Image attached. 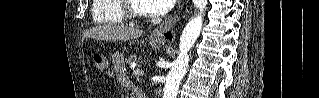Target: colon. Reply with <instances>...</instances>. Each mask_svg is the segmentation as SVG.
I'll list each match as a JSON object with an SVG mask.
<instances>
[{
    "label": "colon",
    "instance_id": "obj_1",
    "mask_svg": "<svg viewBox=\"0 0 319 98\" xmlns=\"http://www.w3.org/2000/svg\"><path fill=\"white\" fill-rule=\"evenodd\" d=\"M93 61L99 69H103L106 66L105 59L101 53H98V52L94 53Z\"/></svg>",
    "mask_w": 319,
    "mask_h": 98
}]
</instances>
